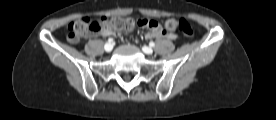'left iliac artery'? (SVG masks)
Here are the masks:
<instances>
[{
  "label": "left iliac artery",
  "instance_id": "44dca946",
  "mask_svg": "<svg viewBox=\"0 0 276 120\" xmlns=\"http://www.w3.org/2000/svg\"><path fill=\"white\" fill-rule=\"evenodd\" d=\"M149 45H150V47H154V46H155V43H154L153 41H151V42L149 43Z\"/></svg>",
  "mask_w": 276,
  "mask_h": 120
}]
</instances>
